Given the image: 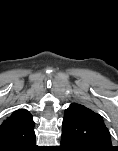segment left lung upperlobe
<instances>
[{
  "label": "left lung upper lobe",
  "instance_id": "5c2ea615",
  "mask_svg": "<svg viewBox=\"0 0 118 151\" xmlns=\"http://www.w3.org/2000/svg\"><path fill=\"white\" fill-rule=\"evenodd\" d=\"M62 134L73 137L85 151H112L109 130L102 117L78 103L65 110Z\"/></svg>",
  "mask_w": 118,
  "mask_h": 151
}]
</instances>
